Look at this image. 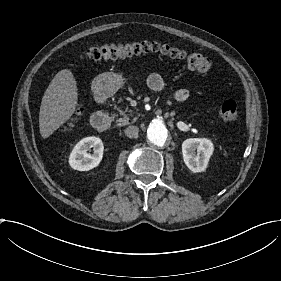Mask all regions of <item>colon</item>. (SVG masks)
Instances as JSON below:
<instances>
[{
    "mask_svg": "<svg viewBox=\"0 0 281 281\" xmlns=\"http://www.w3.org/2000/svg\"><path fill=\"white\" fill-rule=\"evenodd\" d=\"M148 54L157 55L172 61L185 62L202 73L209 71L211 67L210 59L203 54L181 50L156 42H120L96 45L81 52L78 60L86 62L103 59H126ZM218 111L220 118L224 121L235 123L238 120V112L233 101L226 100L221 102Z\"/></svg>",
    "mask_w": 281,
    "mask_h": 281,
    "instance_id": "colon-1",
    "label": "colon"
}]
</instances>
